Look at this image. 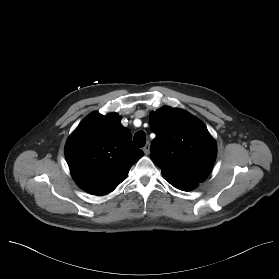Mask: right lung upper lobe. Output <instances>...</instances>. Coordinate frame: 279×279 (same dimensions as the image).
<instances>
[{
  "label": "right lung upper lobe",
  "mask_w": 279,
  "mask_h": 279,
  "mask_svg": "<svg viewBox=\"0 0 279 279\" xmlns=\"http://www.w3.org/2000/svg\"><path fill=\"white\" fill-rule=\"evenodd\" d=\"M116 113L93 112L67 140L65 157L77 185L93 195H106L126 179L143 155Z\"/></svg>",
  "instance_id": "obj_1"
}]
</instances>
